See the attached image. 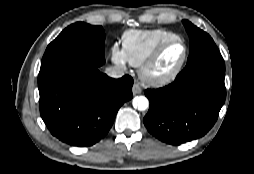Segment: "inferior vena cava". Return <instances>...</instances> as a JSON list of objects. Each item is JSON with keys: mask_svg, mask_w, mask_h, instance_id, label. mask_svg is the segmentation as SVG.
Segmentation results:
<instances>
[{"mask_svg": "<svg viewBox=\"0 0 254 174\" xmlns=\"http://www.w3.org/2000/svg\"><path fill=\"white\" fill-rule=\"evenodd\" d=\"M105 73L112 78H121L124 75V69L119 66L107 67Z\"/></svg>", "mask_w": 254, "mask_h": 174, "instance_id": "obj_1", "label": "inferior vena cava"}]
</instances>
